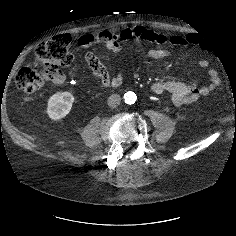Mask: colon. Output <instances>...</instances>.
I'll list each match as a JSON object with an SVG mask.
<instances>
[{
	"label": "colon",
	"instance_id": "colon-1",
	"mask_svg": "<svg viewBox=\"0 0 236 236\" xmlns=\"http://www.w3.org/2000/svg\"><path fill=\"white\" fill-rule=\"evenodd\" d=\"M69 39L57 36L39 44L34 51L36 64L22 68L16 75V85L26 93L39 90L46 82L60 75V69L71 64Z\"/></svg>",
	"mask_w": 236,
	"mask_h": 236
}]
</instances>
